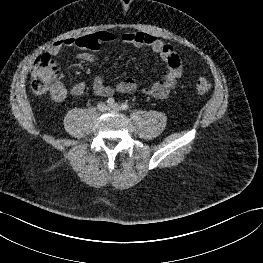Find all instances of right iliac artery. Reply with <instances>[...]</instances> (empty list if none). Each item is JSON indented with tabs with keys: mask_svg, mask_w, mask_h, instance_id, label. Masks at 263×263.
<instances>
[{
	"mask_svg": "<svg viewBox=\"0 0 263 263\" xmlns=\"http://www.w3.org/2000/svg\"><path fill=\"white\" fill-rule=\"evenodd\" d=\"M106 102H107L108 105H113L114 99L113 98H108Z\"/></svg>",
	"mask_w": 263,
	"mask_h": 263,
	"instance_id": "1",
	"label": "right iliac artery"
}]
</instances>
